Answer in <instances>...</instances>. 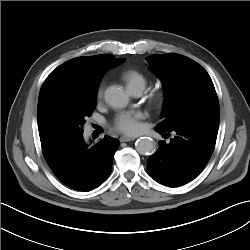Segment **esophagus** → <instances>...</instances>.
<instances>
[{
  "label": "esophagus",
  "instance_id": "esophagus-1",
  "mask_svg": "<svg viewBox=\"0 0 250 250\" xmlns=\"http://www.w3.org/2000/svg\"><path fill=\"white\" fill-rule=\"evenodd\" d=\"M133 140H135L134 137H129V136H121L120 137L121 142H129V141H133Z\"/></svg>",
  "mask_w": 250,
  "mask_h": 250
}]
</instances>
